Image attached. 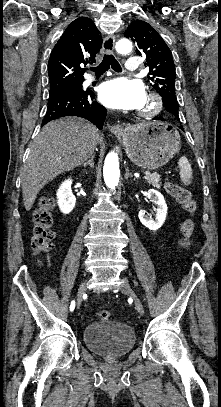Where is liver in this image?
<instances>
[{
    "label": "liver",
    "instance_id": "6515ba94",
    "mask_svg": "<svg viewBox=\"0 0 221 407\" xmlns=\"http://www.w3.org/2000/svg\"><path fill=\"white\" fill-rule=\"evenodd\" d=\"M98 143V129L84 119L67 117L46 124L33 140L21 174L26 211L48 182L90 158Z\"/></svg>",
    "mask_w": 221,
    "mask_h": 407
}]
</instances>
